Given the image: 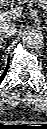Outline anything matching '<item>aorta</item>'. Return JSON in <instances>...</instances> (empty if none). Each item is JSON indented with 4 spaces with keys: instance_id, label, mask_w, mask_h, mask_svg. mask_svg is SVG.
Masks as SVG:
<instances>
[{
    "instance_id": "aorta-1",
    "label": "aorta",
    "mask_w": 47,
    "mask_h": 129,
    "mask_svg": "<svg viewBox=\"0 0 47 129\" xmlns=\"http://www.w3.org/2000/svg\"><path fill=\"white\" fill-rule=\"evenodd\" d=\"M44 37L38 29L30 28L23 32L22 41L27 47H38L42 45Z\"/></svg>"
}]
</instances>
